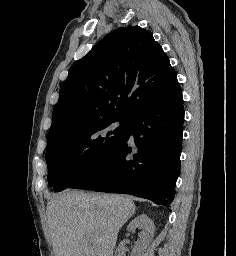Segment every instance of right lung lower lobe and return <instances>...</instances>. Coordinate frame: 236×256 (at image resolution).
Wrapping results in <instances>:
<instances>
[{
	"instance_id": "obj_1",
	"label": "right lung lower lobe",
	"mask_w": 236,
	"mask_h": 256,
	"mask_svg": "<svg viewBox=\"0 0 236 256\" xmlns=\"http://www.w3.org/2000/svg\"><path fill=\"white\" fill-rule=\"evenodd\" d=\"M183 122L178 84L148 101L132 118L123 142L69 187L131 194L169 209L180 172Z\"/></svg>"
}]
</instances>
